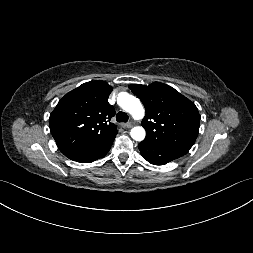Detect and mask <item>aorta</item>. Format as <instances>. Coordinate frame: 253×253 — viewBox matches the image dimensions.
Segmentation results:
<instances>
[{
	"label": "aorta",
	"instance_id": "obj_1",
	"mask_svg": "<svg viewBox=\"0 0 253 253\" xmlns=\"http://www.w3.org/2000/svg\"><path fill=\"white\" fill-rule=\"evenodd\" d=\"M117 102L122 109L130 113L135 120H139L144 116V108L140 100L126 92L119 94ZM131 137L136 141H142L145 138V129L141 126H136L131 129Z\"/></svg>",
	"mask_w": 253,
	"mask_h": 253
}]
</instances>
